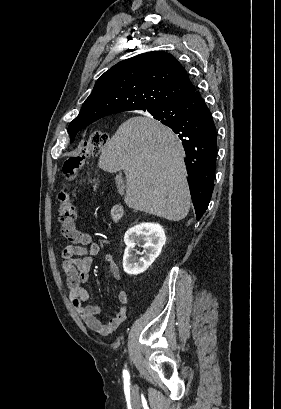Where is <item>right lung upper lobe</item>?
I'll use <instances>...</instances> for the list:
<instances>
[{
	"label": "right lung upper lobe",
	"instance_id": "cb5924a9",
	"mask_svg": "<svg viewBox=\"0 0 281 409\" xmlns=\"http://www.w3.org/2000/svg\"><path fill=\"white\" fill-rule=\"evenodd\" d=\"M195 91L185 69L171 54L144 53L105 72L69 127L83 129L102 117L124 111L160 109Z\"/></svg>",
	"mask_w": 281,
	"mask_h": 409
}]
</instances>
